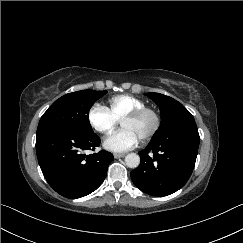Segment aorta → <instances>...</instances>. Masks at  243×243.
<instances>
[{"label":"aorta","mask_w":243,"mask_h":243,"mask_svg":"<svg viewBox=\"0 0 243 243\" xmlns=\"http://www.w3.org/2000/svg\"><path fill=\"white\" fill-rule=\"evenodd\" d=\"M125 164L129 168H137L140 164V157L136 153H130L125 157Z\"/></svg>","instance_id":"762f6f07"}]
</instances>
